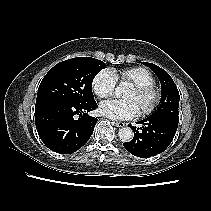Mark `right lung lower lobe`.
<instances>
[{"mask_svg":"<svg viewBox=\"0 0 211 211\" xmlns=\"http://www.w3.org/2000/svg\"><path fill=\"white\" fill-rule=\"evenodd\" d=\"M97 103L70 104L40 102L35 105V124L39 137L52 151L70 154L80 149L93 133L98 118L88 112Z\"/></svg>","mask_w":211,"mask_h":211,"instance_id":"1","label":"right lung lower lobe"}]
</instances>
